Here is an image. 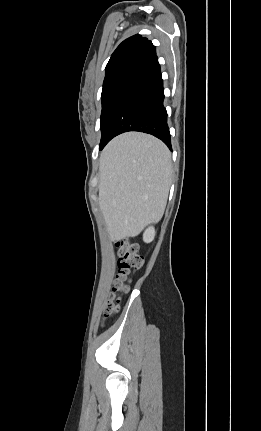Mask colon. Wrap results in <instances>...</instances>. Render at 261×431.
Returning a JSON list of instances; mask_svg holds the SVG:
<instances>
[{
  "instance_id": "5ec220e1",
  "label": "colon",
  "mask_w": 261,
  "mask_h": 431,
  "mask_svg": "<svg viewBox=\"0 0 261 431\" xmlns=\"http://www.w3.org/2000/svg\"><path fill=\"white\" fill-rule=\"evenodd\" d=\"M116 247L119 256V270L112 288L111 296L105 305V317L111 316L118 311L120 294L128 291L130 276L143 264V258L138 252L137 244L124 239L119 241Z\"/></svg>"
}]
</instances>
